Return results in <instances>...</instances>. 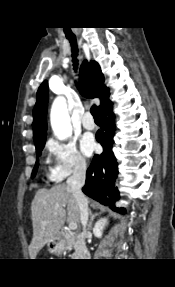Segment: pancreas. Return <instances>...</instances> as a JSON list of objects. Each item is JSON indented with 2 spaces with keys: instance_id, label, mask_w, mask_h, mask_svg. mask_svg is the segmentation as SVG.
Wrapping results in <instances>:
<instances>
[{
  "instance_id": "cf45deb5",
  "label": "pancreas",
  "mask_w": 175,
  "mask_h": 287,
  "mask_svg": "<svg viewBox=\"0 0 175 287\" xmlns=\"http://www.w3.org/2000/svg\"><path fill=\"white\" fill-rule=\"evenodd\" d=\"M72 239H74L72 237ZM73 248L75 250V252L72 254L73 258L79 256V249H80V244L78 242L74 243Z\"/></svg>"
}]
</instances>
